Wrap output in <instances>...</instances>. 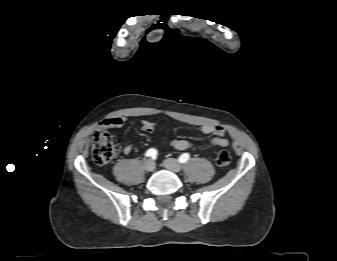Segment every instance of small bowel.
<instances>
[{"mask_svg":"<svg viewBox=\"0 0 337 261\" xmlns=\"http://www.w3.org/2000/svg\"><path fill=\"white\" fill-rule=\"evenodd\" d=\"M123 118L121 117H111L100 122L99 128L109 129V128H119L123 125ZM139 128L147 133H153L159 128V124L150 122L148 120H143L140 122ZM200 131L203 134L211 135V144L219 147H228L230 142L225 137V129L221 125L205 124L200 127ZM172 146L174 149L183 151L193 147L191 141L185 139H174L172 141ZM132 151V145L127 144L122 148L124 154H129Z\"/></svg>","mask_w":337,"mask_h":261,"instance_id":"obj_1","label":"small bowel"}]
</instances>
